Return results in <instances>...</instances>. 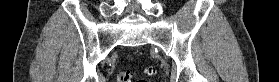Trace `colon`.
I'll use <instances>...</instances> for the list:
<instances>
[{
  "label": "colon",
  "mask_w": 279,
  "mask_h": 82,
  "mask_svg": "<svg viewBox=\"0 0 279 82\" xmlns=\"http://www.w3.org/2000/svg\"><path fill=\"white\" fill-rule=\"evenodd\" d=\"M155 72V69L152 67H149L145 70V73L148 75H154ZM131 79L132 73L130 71H122L116 76V82H131Z\"/></svg>",
  "instance_id": "1"
}]
</instances>
